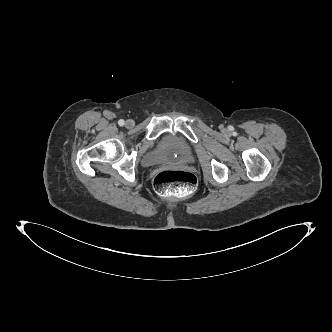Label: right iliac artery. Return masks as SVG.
Wrapping results in <instances>:
<instances>
[{
  "instance_id": "82829eb1",
  "label": "right iliac artery",
  "mask_w": 332,
  "mask_h": 332,
  "mask_svg": "<svg viewBox=\"0 0 332 332\" xmlns=\"http://www.w3.org/2000/svg\"><path fill=\"white\" fill-rule=\"evenodd\" d=\"M118 124H119L120 126H123V125L125 124V122H124V120L121 119V120L118 121Z\"/></svg>"
}]
</instances>
